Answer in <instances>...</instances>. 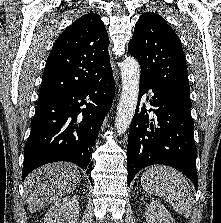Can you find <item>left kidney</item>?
Wrapping results in <instances>:
<instances>
[{
  "label": "left kidney",
  "instance_id": "5707ae66",
  "mask_svg": "<svg viewBox=\"0 0 221 223\" xmlns=\"http://www.w3.org/2000/svg\"><path fill=\"white\" fill-rule=\"evenodd\" d=\"M145 216L147 223H175L165 206L154 200L147 204Z\"/></svg>",
  "mask_w": 221,
  "mask_h": 223
}]
</instances>
